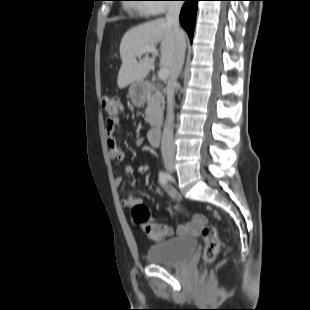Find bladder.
I'll return each mask as SVG.
<instances>
[{
	"instance_id": "obj_1",
	"label": "bladder",
	"mask_w": 310,
	"mask_h": 310,
	"mask_svg": "<svg viewBox=\"0 0 310 310\" xmlns=\"http://www.w3.org/2000/svg\"><path fill=\"white\" fill-rule=\"evenodd\" d=\"M197 250V242L193 238H168L146 251L147 261L151 264L179 266L189 261Z\"/></svg>"
}]
</instances>
